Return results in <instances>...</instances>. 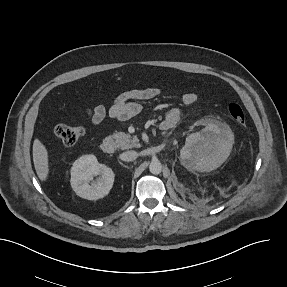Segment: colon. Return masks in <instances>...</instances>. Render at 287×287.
I'll return each mask as SVG.
<instances>
[{"mask_svg":"<svg viewBox=\"0 0 287 287\" xmlns=\"http://www.w3.org/2000/svg\"><path fill=\"white\" fill-rule=\"evenodd\" d=\"M228 114L236 123H245V113L238 103H231L228 106ZM85 130L80 125H56L53 128V135L65 145H73L84 136Z\"/></svg>","mask_w":287,"mask_h":287,"instance_id":"5ec220e1","label":"colon"}]
</instances>
